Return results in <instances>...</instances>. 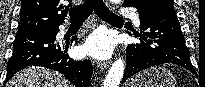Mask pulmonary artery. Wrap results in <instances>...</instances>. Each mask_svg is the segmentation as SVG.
<instances>
[{
    "mask_svg": "<svg viewBox=\"0 0 205 87\" xmlns=\"http://www.w3.org/2000/svg\"><path fill=\"white\" fill-rule=\"evenodd\" d=\"M132 20H133V22L136 26H140V20H139V17L136 14L132 15Z\"/></svg>",
    "mask_w": 205,
    "mask_h": 87,
    "instance_id": "1",
    "label": "pulmonary artery"
}]
</instances>
